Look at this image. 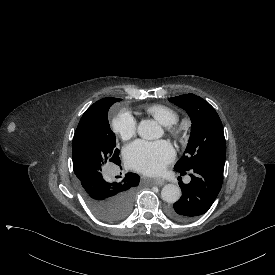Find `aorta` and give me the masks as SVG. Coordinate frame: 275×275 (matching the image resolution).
<instances>
[{"instance_id": "aorta-1", "label": "aorta", "mask_w": 275, "mask_h": 275, "mask_svg": "<svg viewBox=\"0 0 275 275\" xmlns=\"http://www.w3.org/2000/svg\"><path fill=\"white\" fill-rule=\"evenodd\" d=\"M138 133L145 140H154L163 136V128L154 120H143L138 126ZM181 189L175 184H166L161 190V197L168 203L179 200Z\"/></svg>"}]
</instances>
